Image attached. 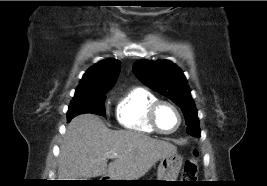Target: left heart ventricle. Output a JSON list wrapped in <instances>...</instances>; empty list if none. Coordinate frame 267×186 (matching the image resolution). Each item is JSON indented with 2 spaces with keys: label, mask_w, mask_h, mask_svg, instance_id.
<instances>
[{
  "label": "left heart ventricle",
  "mask_w": 267,
  "mask_h": 186,
  "mask_svg": "<svg viewBox=\"0 0 267 186\" xmlns=\"http://www.w3.org/2000/svg\"><path fill=\"white\" fill-rule=\"evenodd\" d=\"M157 123L164 131L173 130L178 124L176 111L169 105H161L157 111Z\"/></svg>",
  "instance_id": "1"
}]
</instances>
